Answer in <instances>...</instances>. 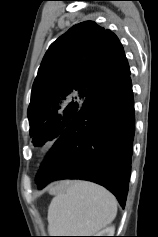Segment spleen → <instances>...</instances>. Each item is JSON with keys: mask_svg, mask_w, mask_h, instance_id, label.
<instances>
[{"mask_svg": "<svg viewBox=\"0 0 158 237\" xmlns=\"http://www.w3.org/2000/svg\"><path fill=\"white\" fill-rule=\"evenodd\" d=\"M117 214V201L105 188L87 181H72L48 208L50 236H93Z\"/></svg>", "mask_w": 158, "mask_h": 237, "instance_id": "1", "label": "spleen"}]
</instances>
